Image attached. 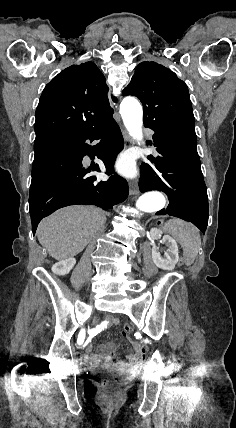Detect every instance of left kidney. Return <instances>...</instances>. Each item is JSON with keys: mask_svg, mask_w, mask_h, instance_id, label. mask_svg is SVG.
Instances as JSON below:
<instances>
[{"mask_svg": "<svg viewBox=\"0 0 236 428\" xmlns=\"http://www.w3.org/2000/svg\"><path fill=\"white\" fill-rule=\"evenodd\" d=\"M161 234V230H157V228H152L150 232L152 240H159ZM162 242L165 244L166 250L163 256H161L159 248L154 244L152 248L153 262L156 264L157 268H162V270H174L175 264H177L179 260L178 246L175 240L170 238V236H163Z\"/></svg>", "mask_w": 236, "mask_h": 428, "instance_id": "5707ae66", "label": "left kidney"}]
</instances>
